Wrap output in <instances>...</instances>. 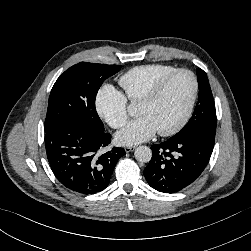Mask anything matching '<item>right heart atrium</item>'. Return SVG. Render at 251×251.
<instances>
[{"label":"right heart atrium","instance_id":"1","mask_svg":"<svg viewBox=\"0 0 251 251\" xmlns=\"http://www.w3.org/2000/svg\"><path fill=\"white\" fill-rule=\"evenodd\" d=\"M95 107L99 116L114 129L121 128L127 120L126 98L110 85H105L98 91Z\"/></svg>","mask_w":251,"mask_h":251}]
</instances>
